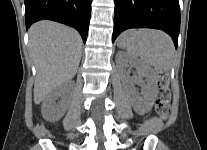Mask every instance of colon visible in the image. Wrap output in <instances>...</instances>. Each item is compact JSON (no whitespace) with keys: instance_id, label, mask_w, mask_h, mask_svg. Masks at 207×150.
<instances>
[{"instance_id":"1","label":"colon","mask_w":207,"mask_h":150,"mask_svg":"<svg viewBox=\"0 0 207 150\" xmlns=\"http://www.w3.org/2000/svg\"><path fill=\"white\" fill-rule=\"evenodd\" d=\"M170 100L171 92L168 74L164 71H159L155 107L162 118H166L169 113Z\"/></svg>"}]
</instances>
